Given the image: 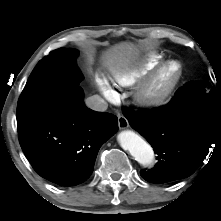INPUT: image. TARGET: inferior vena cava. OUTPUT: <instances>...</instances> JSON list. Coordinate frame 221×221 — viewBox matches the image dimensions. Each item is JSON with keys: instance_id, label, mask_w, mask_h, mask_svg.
Wrapping results in <instances>:
<instances>
[{"instance_id": "inferior-vena-cava-1", "label": "inferior vena cava", "mask_w": 221, "mask_h": 221, "mask_svg": "<svg viewBox=\"0 0 221 221\" xmlns=\"http://www.w3.org/2000/svg\"><path fill=\"white\" fill-rule=\"evenodd\" d=\"M86 106L95 111L104 112L107 110V102L101 98L99 95H93L86 99Z\"/></svg>"}]
</instances>
